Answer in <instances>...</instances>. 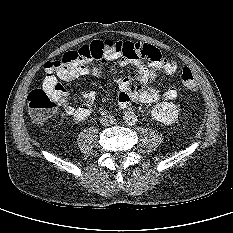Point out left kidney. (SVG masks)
<instances>
[{"mask_svg":"<svg viewBox=\"0 0 233 233\" xmlns=\"http://www.w3.org/2000/svg\"><path fill=\"white\" fill-rule=\"evenodd\" d=\"M152 117L166 125L175 123L178 119V107L172 102H161L155 105L151 111Z\"/></svg>","mask_w":233,"mask_h":233,"instance_id":"1","label":"left kidney"}]
</instances>
